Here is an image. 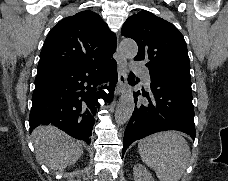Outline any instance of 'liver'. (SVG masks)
<instances>
[{"mask_svg": "<svg viewBox=\"0 0 228 181\" xmlns=\"http://www.w3.org/2000/svg\"><path fill=\"white\" fill-rule=\"evenodd\" d=\"M36 159L52 171L75 165L83 155L82 141H76L57 127H37L31 135Z\"/></svg>", "mask_w": 228, "mask_h": 181, "instance_id": "obj_1", "label": "liver"}]
</instances>
